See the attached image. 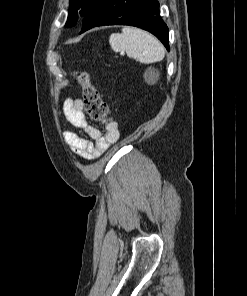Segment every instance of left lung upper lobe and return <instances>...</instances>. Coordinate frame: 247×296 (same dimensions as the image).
<instances>
[{"label":"left lung upper lobe","mask_w":247,"mask_h":296,"mask_svg":"<svg viewBox=\"0 0 247 296\" xmlns=\"http://www.w3.org/2000/svg\"><path fill=\"white\" fill-rule=\"evenodd\" d=\"M99 0H70L69 14L66 27L76 24L80 16L84 17Z\"/></svg>","instance_id":"5c2ea615"}]
</instances>
